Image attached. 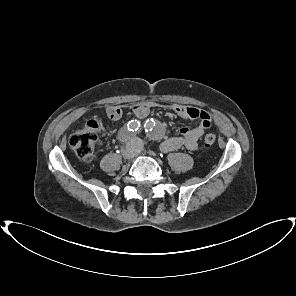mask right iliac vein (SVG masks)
<instances>
[{"label":"right iliac vein","mask_w":296,"mask_h":296,"mask_svg":"<svg viewBox=\"0 0 296 296\" xmlns=\"http://www.w3.org/2000/svg\"><path fill=\"white\" fill-rule=\"evenodd\" d=\"M136 154H137L136 145L134 142L131 141L127 144L126 148L124 149L123 157L125 159L130 160V159L134 158L136 156Z\"/></svg>","instance_id":"63e3f726"}]
</instances>
